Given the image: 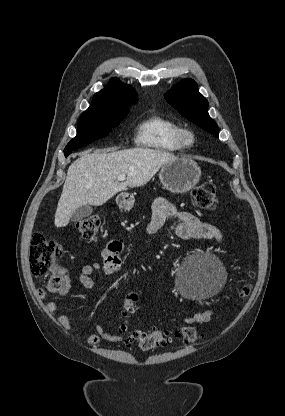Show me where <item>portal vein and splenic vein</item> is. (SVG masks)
<instances>
[{
	"label": "portal vein and splenic vein",
	"instance_id": "1",
	"mask_svg": "<svg viewBox=\"0 0 285 416\" xmlns=\"http://www.w3.org/2000/svg\"><path fill=\"white\" fill-rule=\"evenodd\" d=\"M117 180L118 182H124V180H126V176H124V174H122V176H117Z\"/></svg>",
	"mask_w": 285,
	"mask_h": 416
}]
</instances>
